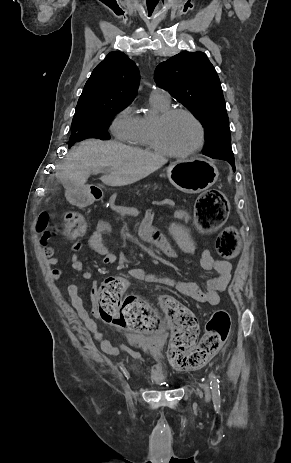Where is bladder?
I'll return each mask as SVG.
<instances>
[{
  "instance_id": "obj_1",
  "label": "bladder",
  "mask_w": 291,
  "mask_h": 463,
  "mask_svg": "<svg viewBox=\"0 0 291 463\" xmlns=\"http://www.w3.org/2000/svg\"><path fill=\"white\" fill-rule=\"evenodd\" d=\"M138 341V340H137ZM157 374L159 375V378L156 379L157 381H163L164 380V373H163V369H162V366L161 365H158L157 366Z\"/></svg>"
}]
</instances>
